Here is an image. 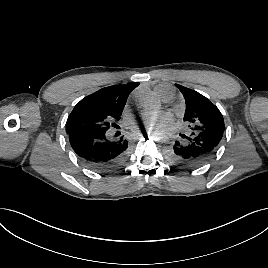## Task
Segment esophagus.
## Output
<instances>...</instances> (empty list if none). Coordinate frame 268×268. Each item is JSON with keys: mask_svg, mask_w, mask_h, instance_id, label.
I'll return each instance as SVG.
<instances>
[{"mask_svg": "<svg viewBox=\"0 0 268 268\" xmlns=\"http://www.w3.org/2000/svg\"><path fill=\"white\" fill-rule=\"evenodd\" d=\"M147 135V131H142V133H139V138H146Z\"/></svg>", "mask_w": 268, "mask_h": 268, "instance_id": "esophagus-1", "label": "esophagus"}]
</instances>
